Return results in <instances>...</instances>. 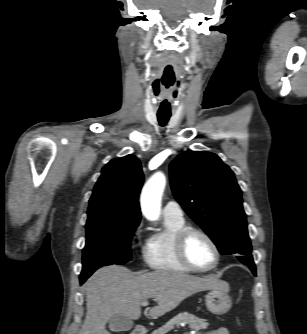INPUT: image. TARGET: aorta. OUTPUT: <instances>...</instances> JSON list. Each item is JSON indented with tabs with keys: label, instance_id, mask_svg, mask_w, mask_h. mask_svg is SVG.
I'll return each mask as SVG.
<instances>
[{
	"label": "aorta",
	"instance_id": "1",
	"mask_svg": "<svg viewBox=\"0 0 307 334\" xmlns=\"http://www.w3.org/2000/svg\"><path fill=\"white\" fill-rule=\"evenodd\" d=\"M166 185V178L162 173H156L144 185L141 193V210L150 221L160 216L161 198Z\"/></svg>",
	"mask_w": 307,
	"mask_h": 334
}]
</instances>
